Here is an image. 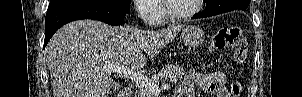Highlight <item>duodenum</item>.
I'll return each instance as SVG.
<instances>
[{
  "label": "duodenum",
  "mask_w": 302,
  "mask_h": 97,
  "mask_svg": "<svg viewBox=\"0 0 302 97\" xmlns=\"http://www.w3.org/2000/svg\"><path fill=\"white\" fill-rule=\"evenodd\" d=\"M132 89L130 87L124 88L119 94L118 97H132Z\"/></svg>",
  "instance_id": "410a0bca"
}]
</instances>
